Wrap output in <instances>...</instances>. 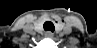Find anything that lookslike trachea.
I'll list each match as a JSON object with an SVG mask.
<instances>
[{
    "label": "trachea",
    "instance_id": "obj_1",
    "mask_svg": "<svg viewBox=\"0 0 97 48\" xmlns=\"http://www.w3.org/2000/svg\"><path fill=\"white\" fill-rule=\"evenodd\" d=\"M45 31H51L54 32L55 27L54 24L51 21H47L43 25Z\"/></svg>",
    "mask_w": 97,
    "mask_h": 48
}]
</instances>
